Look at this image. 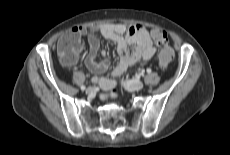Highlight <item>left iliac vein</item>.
I'll return each instance as SVG.
<instances>
[{"label":"left iliac vein","mask_w":230,"mask_h":155,"mask_svg":"<svg viewBox=\"0 0 230 155\" xmlns=\"http://www.w3.org/2000/svg\"><path fill=\"white\" fill-rule=\"evenodd\" d=\"M125 89L128 91H138L144 87L143 82L139 80H127L122 82Z\"/></svg>","instance_id":"obj_1"}]
</instances>
